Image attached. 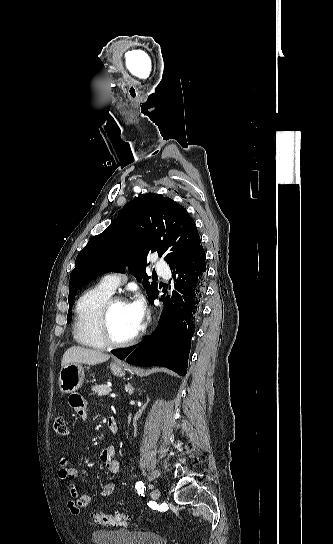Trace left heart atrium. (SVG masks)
Returning a JSON list of instances; mask_svg holds the SVG:
<instances>
[{
	"label": "left heart atrium",
	"instance_id": "39dd6f15",
	"mask_svg": "<svg viewBox=\"0 0 333 544\" xmlns=\"http://www.w3.org/2000/svg\"><path fill=\"white\" fill-rule=\"evenodd\" d=\"M133 320L139 328L145 312L144 300L142 297H137L134 301L128 304Z\"/></svg>",
	"mask_w": 333,
	"mask_h": 544
}]
</instances>
